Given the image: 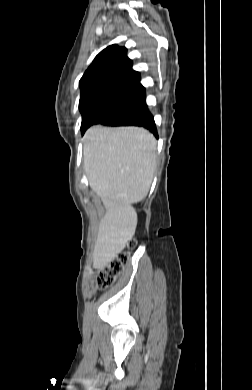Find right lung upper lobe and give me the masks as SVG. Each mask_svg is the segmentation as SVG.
<instances>
[{"instance_id":"obj_1","label":"right lung upper lobe","mask_w":252,"mask_h":390,"mask_svg":"<svg viewBox=\"0 0 252 390\" xmlns=\"http://www.w3.org/2000/svg\"><path fill=\"white\" fill-rule=\"evenodd\" d=\"M79 108L100 100H129L135 103L146 97L140 74L132 70L127 49L111 45L93 60L79 82Z\"/></svg>"}]
</instances>
